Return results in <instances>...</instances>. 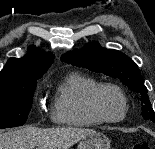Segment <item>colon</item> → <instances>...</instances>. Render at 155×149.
I'll list each match as a JSON object with an SVG mask.
<instances>
[{
  "instance_id": "colon-1",
  "label": "colon",
  "mask_w": 155,
  "mask_h": 149,
  "mask_svg": "<svg viewBox=\"0 0 155 149\" xmlns=\"http://www.w3.org/2000/svg\"><path fill=\"white\" fill-rule=\"evenodd\" d=\"M132 149H150V146L147 143H136L132 146Z\"/></svg>"
}]
</instances>
